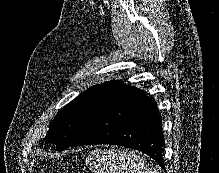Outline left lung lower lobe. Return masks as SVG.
Instances as JSON below:
<instances>
[{
    "label": "left lung lower lobe",
    "mask_w": 219,
    "mask_h": 173,
    "mask_svg": "<svg viewBox=\"0 0 219 173\" xmlns=\"http://www.w3.org/2000/svg\"><path fill=\"white\" fill-rule=\"evenodd\" d=\"M133 86L123 89L92 118L71 146L111 144L144 152L165 170L157 103Z\"/></svg>",
    "instance_id": "left-lung-lower-lobe-1"
}]
</instances>
